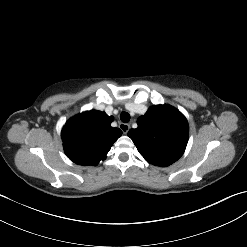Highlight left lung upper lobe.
<instances>
[{"label": "left lung upper lobe", "mask_w": 247, "mask_h": 247, "mask_svg": "<svg viewBox=\"0 0 247 247\" xmlns=\"http://www.w3.org/2000/svg\"><path fill=\"white\" fill-rule=\"evenodd\" d=\"M137 124L128 136L147 162L166 167L183 155L189 126L179 110L169 105H155L138 118Z\"/></svg>", "instance_id": "obj_1"}]
</instances>
